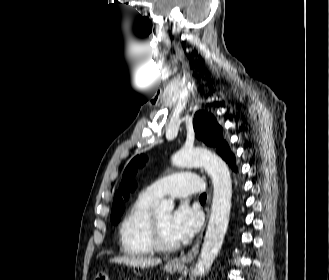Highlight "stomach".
<instances>
[{
	"mask_svg": "<svg viewBox=\"0 0 329 280\" xmlns=\"http://www.w3.org/2000/svg\"><path fill=\"white\" fill-rule=\"evenodd\" d=\"M180 268H181V266H178V265L168 264V265L165 266L166 272H169V273H174L177 270H179ZM94 280H109V277L105 272H100L95 276Z\"/></svg>",
	"mask_w": 329,
	"mask_h": 280,
	"instance_id": "0dacf381",
	"label": "stomach"
}]
</instances>
